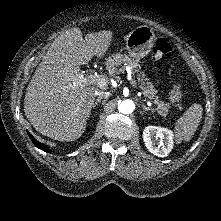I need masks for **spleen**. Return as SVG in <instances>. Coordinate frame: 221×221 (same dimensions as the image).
<instances>
[{
    "label": "spleen",
    "mask_w": 221,
    "mask_h": 221,
    "mask_svg": "<svg viewBox=\"0 0 221 221\" xmlns=\"http://www.w3.org/2000/svg\"><path fill=\"white\" fill-rule=\"evenodd\" d=\"M203 108L200 104L194 103L175 122V134L177 143L190 141L202 119Z\"/></svg>",
    "instance_id": "spleen-1"
}]
</instances>
